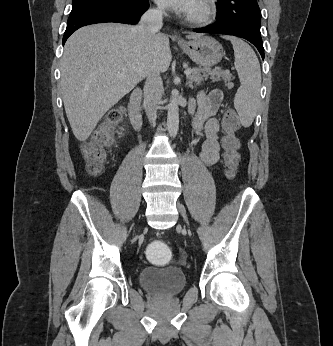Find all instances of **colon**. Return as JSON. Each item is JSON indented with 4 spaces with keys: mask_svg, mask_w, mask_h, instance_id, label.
Segmentation results:
<instances>
[{
    "mask_svg": "<svg viewBox=\"0 0 333 346\" xmlns=\"http://www.w3.org/2000/svg\"><path fill=\"white\" fill-rule=\"evenodd\" d=\"M124 113L123 108L109 111L105 121L95 131L91 140L82 147V154L86 162L87 170L92 175L102 171L107 158V151L113 144V133L115 126ZM224 137L222 145L224 149L223 161L227 175L234 178L237 174L240 156L238 153L239 142L235 135L239 127V118L233 109L225 112L223 117ZM145 260H150L154 268H168L173 260V253L168 249L164 240H151L145 244Z\"/></svg>",
    "mask_w": 333,
    "mask_h": 346,
    "instance_id": "5ec220e1",
    "label": "colon"
}]
</instances>
